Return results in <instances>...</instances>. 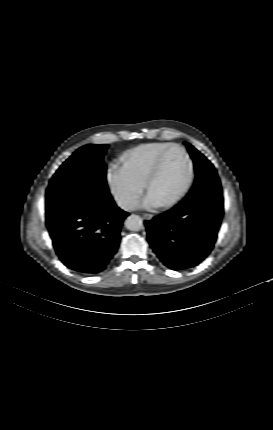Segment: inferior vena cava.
<instances>
[{"label":"inferior vena cava","mask_w":273,"mask_h":430,"mask_svg":"<svg viewBox=\"0 0 273 430\" xmlns=\"http://www.w3.org/2000/svg\"><path fill=\"white\" fill-rule=\"evenodd\" d=\"M118 205L126 210L133 209L135 206V202L130 201H118Z\"/></svg>","instance_id":"602c4592"}]
</instances>
